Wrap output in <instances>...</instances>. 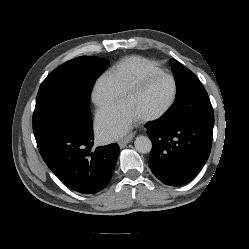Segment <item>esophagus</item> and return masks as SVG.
Returning <instances> with one entry per match:
<instances>
[{"instance_id":"34e87169","label":"esophagus","mask_w":249,"mask_h":249,"mask_svg":"<svg viewBox=\"0 0 249 249\" xmlns=\"http://www.w3.org/2000/svg\"><path fill=\"white\" fill-rule=\"evenodd\" d=\"M133 138H134V134L131 133L127 135L125 138L121 139L118 143L120 148H124L129 142L132 141Z\"/></svg>"}]
</instances>
